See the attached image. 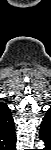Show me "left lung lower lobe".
Listing matches in <instances>:
<instances>
[{"mask_svg": "<svg viewBox=\"0 0 51 150\" xmlns=\"http://www.w3.org/2000/svg\"><path fill=\"white\" fill-rule=\"evenodd\" d=\"M39 138L43 139L44 142L46 143V145L49 143V139H50V138L45 137V136L42 134L41 131L39 132Z\"/></svg>", "mask_w": 51, "mask_h": 150, "instance_id": "obj_1", "label": "left lung lower lobe"}]
</instances>
